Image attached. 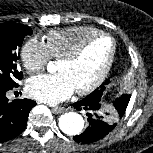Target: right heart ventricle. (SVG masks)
<instances>
[{"label":"right heart ventricle","mask_w":153,"mask_h":153,"mask_svg":"<svg viewBox=\"0 0 153 153\" xmlns=\"http://www.w3.org/2000/svg\"><path fill=\"white\" fill-rule=\"evenodd\" d=\"M101 31L91 26H72L54 29L45 35V45L54 58L60 59L71 52L87 37Z\"/></svg>","instance_id":"1"}]
</instances>
